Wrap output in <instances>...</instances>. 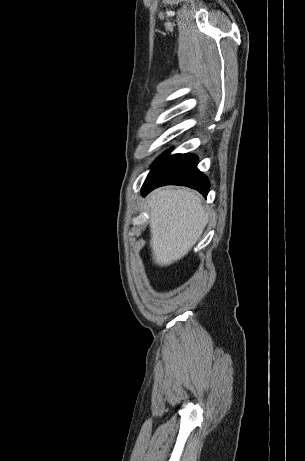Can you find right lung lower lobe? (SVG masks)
Returning <instances> with one entry per match:
<instances>
[{"mask_svg": "<svg viewBox=\"0 0 305 461\" xmlns=\"http://www.w3.org/2000/svg\"><path fill=\"white\" fill-rule=\"evenodd\" d=\"M169 151L156 160L143 186L142 195L163 185H181L198 190L207 196L210 183L208 178L197 168L198 158L191 154L169 155Z\"/></svg>", "mask_w": 305, "mask_h": 461, "instance_id": "98d812e1", "label": "right lung lower lobe"}]
</instances>
